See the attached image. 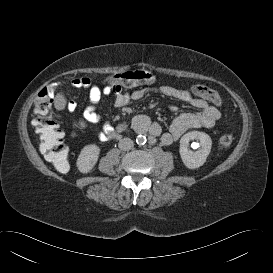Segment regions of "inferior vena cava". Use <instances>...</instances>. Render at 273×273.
<instances>
[{"label": "inferior vena cava", "mask_w": 273, "mask_h": 273, "mask_svg": "<svg viewBox=\"0 0 273 273\" xmlns=\"http://www.w3.org/2000/svg\"><path fill=\"white\" fill-rule=\"evenodd\" d=\"M134 143L130 138H122L119 140L118 147L121 150L127 151L133 147Z\"/></svg>", "instance_id": "602c4592"}]
</instances>
